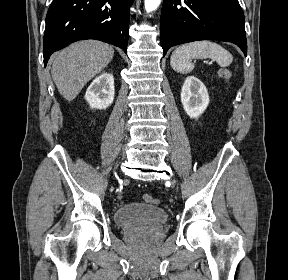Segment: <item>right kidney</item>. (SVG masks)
<instances>
[{"instance_id":"obj_1","label":"right kidney","mask_w":288,"mask_h":280,"mask_svg":"<svg viewBox=\"0 0 288 280\" xmlns=\"http://www.w3.org/2000/svg\"><path fill=\"white\" fill-rule=\"evenodd\" d=\"M114 94L113 75L102 73L88 87L85 99L93 109H106L112 104Z\"/></svg>"}]
</instances>
